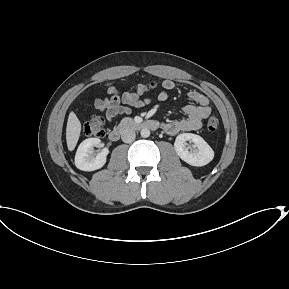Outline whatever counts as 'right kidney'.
Returning a JSON list of instances; mask_svg holds the SVG:
<instances>
[{
    "mask_svg": "<svg viewBox=\"0 0 289 289\" xmlns=\"http://www.w3.org/2000/svg\"><path fill=\"white\" fill-rule=\"evenodd\" d=\"M99 138H88L78 147L75 155V165L83 171H94L100 169L106 163L108 149L104 148L96 156L93 154V147H100Z\"/></svg>",
    "mask_w": 289,
    "mask_h": 289,
    "instance_id": "1",
    "label": "right kidney"
}]
</instances>
